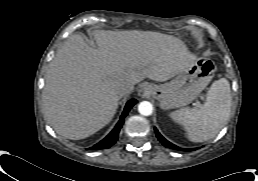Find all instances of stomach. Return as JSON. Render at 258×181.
<instances>
[{
    "mask_svg": "<svg viewBox=\"0 0 258 181\" xmlns=\"http://www.w3.org/2000/svg\"><path fill=\"white\" fill-rule=\"evenodd\" d=\"M215 70V63L211 59L198 58L170 82L149 85L148 93L158 100L164 110L186 106L206 88Z\"/></svg>",
    "mask_w": 258,
    "mask_h": 181,
    "instance_id": "obj_1",
    "label": "stomach"
}]
</instances>
